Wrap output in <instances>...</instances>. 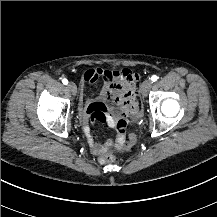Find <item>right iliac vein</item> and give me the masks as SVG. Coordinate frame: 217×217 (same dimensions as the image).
Wrapping results in <instances>:
<instances>
[{
  "label": "right iliac vein",
  "mask_w": 217,
  "mask_h": 217,
  "mask_svg": "<svg viewBox=\"0 0 217 217\" xmlns=\"http://www.w3.org/2000/svg\"><path fill=\"white\" fill-rule=\"evenodd\" d=\"M68 89L72 92L73 95L77 94V87L74 83L70 82L68 84Z\"/></svg>",
  "instance_id": "1"
}]
</instances>
